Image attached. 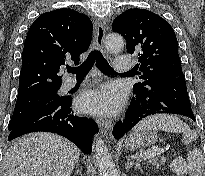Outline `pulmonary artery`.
<instances>
[{"label": "pulmonary artery", "instance_id": "1", "mask_svg": "<svg viewBox=\"0 0 205 176\" xmlns=\"http://www.w3.org/2000/svg\"><path fill=\"white\" fill-rule=\"evenodd\" d=\"M133 64L131 62V56L127 54H122L117 57V64L115 69L117 71H128L132 68ZM75 80L72 78H67L63 83L64 89H70L75 85Z\"/></svg>", "mask_w": 205, "mask_h": 176}]
</instances>
